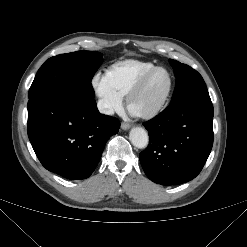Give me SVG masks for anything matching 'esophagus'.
Here are the masks:
<instances>
[{
    "label": "esophagus",
    "instance_id": "esophagus-1",
    "mask_svg": "<svg viewBox=\"0 0 247 247\" xmlns=\"http://www.w3.org/2000/svg\"><path fill=\"white\" fill-rule=\"evenodd\" d=\"M131 127V124L129 123H122L121 124V129L123 130H128Z\"/></svg>",
    "mask_w": 247,
    "mask_h": 247
}]
</instances>
